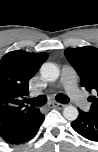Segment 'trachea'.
I'll return each mask as SVG.
<instances>
[{"instance_id": "3493384b", "label": "trachea", "mask_w": 98, "mask_h": 152, "mask_svg": "<svg viewBox=\"0 0 98 152\" xmlns=\"http://www.w3.org/2000/svg\"><path fill=\"white\" fill-rule=\"evenodd\" d=\"M55 98L59 103H62V104H67L70 101L68 96L61 93L57 94ZM25 102L28 104L40 107L46 104L47 98L44 95H40L32 99H26Z\"/></svg>"}]
</instances>
